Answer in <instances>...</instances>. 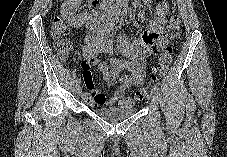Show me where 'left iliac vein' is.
I'll return each instance as SVG.
<instances>
[{
    "label": "left iliac vein",
    "instance_id": "4c4485c4",
    "mask_svg": "<svg viewBox=\"0 0 227 157\" xmlns=\"http://www.w3.org/2000/svg\"><path fill=\"white\" fill-rule=\"evenodd\" d=\"M149 98L151 99L153 105H157L158 104V93L154 90H152L150 92Z\"/></svg>",
    "mask_w": 227,
    "mask_h": 157
}]
</instances>
